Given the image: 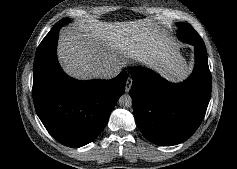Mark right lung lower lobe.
I'll return each mask as SVG.
<instances>
[{
	"label": "right lung lower lobe",
	"mask_w": 237,
	"mask_h": 169,
	"mask_svg": "<svg viewBox=\"0 0 237 169\" xmlns=\"http://www.w3.org/2000/svg\"><path fill=\"white\" fill-rule=\"evenodd\" d=\"M59 30L39 45L33 68V100L48 132L60 143L81 147L105 127L111 110L125 91L127 73L111 80L77 81L61 69L56 55Z\"/></svg>",
	"instance_id": "obj_1"
}]
</instances>
